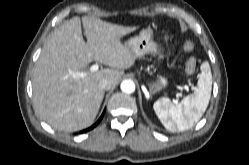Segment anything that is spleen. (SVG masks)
I'll return each instance as SVG.
<instances>
[{
  "mask_svg": "<svg viewBox=\"0 0 249 165\" xmlns=\"http://www.w3.org/2000/svg\"><path fill=\"white\" fill-rule=\"evenodd\" d=\"M197 88L193 94L174 104L168 98H161L153 104V109L170 131H184L192 128L202 117L209 104L212 90V74L207 61L201 64Z\"/></svg>",
  "mask_w": 249,
  "mask_h": 165,
  "instance_id": "spleen-1",
  "label": "spleen"
}]
</instances>
